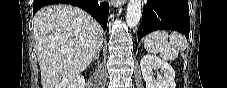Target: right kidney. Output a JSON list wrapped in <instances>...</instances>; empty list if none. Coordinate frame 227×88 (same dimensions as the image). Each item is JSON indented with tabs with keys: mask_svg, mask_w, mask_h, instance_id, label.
Masks as SVG:
<instances>
[{
	"mask_svg": "<svg viewBox=\"0 0 227 88\" xmlns=\"http://www.w3.org/2000/svg\"><path fill=\"white\" fill-rule=\"evenodd\" d=\"M85 79L82 75H74L62 80L55 88H84Z\"/></svg>",
	"mask_w": 227,
	"mask_h": 88,
	"instance_id": "1",
	"label": "right kidney"
}]
</instances>
